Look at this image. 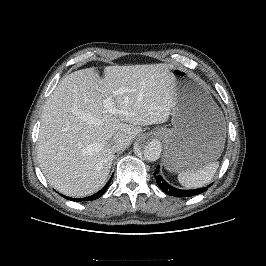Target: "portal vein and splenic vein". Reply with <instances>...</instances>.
Here are the masks:
<instances>
[{
	"label": "portal vein and splenic vein",
	"instance_id": "portal-vein-and-splenic-vein-1",
	"mask_svg": "<svg viewBox=\"0 0 266 266\" xmlns=\"http://www.w3.org/2000/svg\"><path fill=\"white\" fill-rule=\"evenodd\" d=\"M103 105L105 107V109L112 113V114H117L120 111L114 106L113 102H112V98L108 97L105 100H103Z\"/></svg>",
	"mask_w": 266,
	"mask_h": 266
}]
</instances>
